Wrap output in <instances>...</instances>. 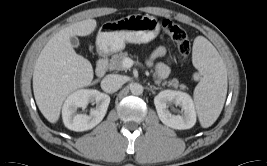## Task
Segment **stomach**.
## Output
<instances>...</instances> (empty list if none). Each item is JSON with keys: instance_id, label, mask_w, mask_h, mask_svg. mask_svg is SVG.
Returning a JSON list of instances; mask_svg holds the SVG:
<instances>
[{"instance_id": "1", "label": "stomach", "mask_w": 267, "mask_h": 166, "mask_svg": "<svg viewBox=\"0 0 267 166\" xmlns=\"http://www.w3.org/2000/svg\"><path fill=\"white\" fill-rule=\"evenodd\" d=\"M160 32V23L149 15L132 14L116 21L105 22L100 28L96 47L101 54L125 48V43H148Z\"/></svg>"}]
</instances>
